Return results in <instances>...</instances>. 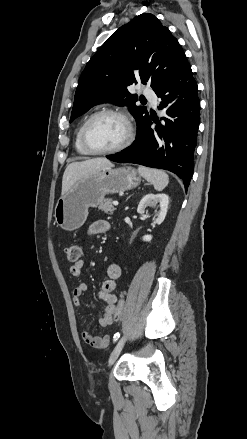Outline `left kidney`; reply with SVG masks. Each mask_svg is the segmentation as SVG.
I'll return each instance as SVG.
<instances>
[{"mask_svg":"<svg viewBox=\"0 0 247 439\" xmlns=\"http://www.w3.org/2000/svg\"><path fill=\"white\" fill-rule=\"evenodd\" d=\"M157 203H159L160 210L157 214L155 222L160 225L164 221L167 214L169 204V197L167 194H146L139 202L137 212L143 214L147 206L156 207ZM142 239L143 241L149 242L152 240V235H145Z\"/></svg>","mask_w":247,"mask_h":439,"instance_id":"5707ae66","label":"left kidney"}]
</instances>
